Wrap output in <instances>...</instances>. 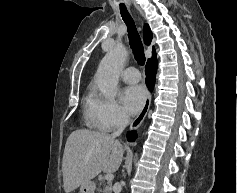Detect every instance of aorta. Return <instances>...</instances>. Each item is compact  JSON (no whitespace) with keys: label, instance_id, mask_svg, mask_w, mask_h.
Instances as JSON below:
<instances>
[{"label":"aorta","instance_id":"obj_1","mask_svg":"<svg viewBox=\"0 0 237 193\" xmlns=\"http://www.w3.org/2000/svg\"><path fill=\"white\" fill-rule=\"evenodd\" d=\"M127 50L121 44L115 46L101 60L97 74L96 83L101 93L109 98L116 93L120 71L127 58Z\"/></svg>","mask_w":237,"mask_h":193}]
</instances>
